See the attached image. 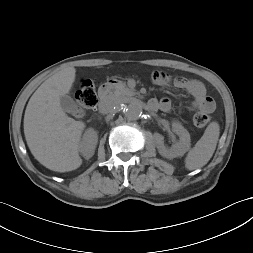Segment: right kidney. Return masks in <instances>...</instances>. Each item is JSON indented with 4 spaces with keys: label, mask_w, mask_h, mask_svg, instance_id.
Segmentation results:
<instances>
[{
    "label": "right kidney",
    "mask_w": 253,
    "mask_h": 253,
    "mask_svg": "<svg viewBox=\"0 0 253 253\" xmlns=\"http://www.w3.org/2000/svg\"><path fill=\"white\" fill-rule=\"evenodd\" d=\"M97 142V131H95L93 128L87 129L79 146V151L85 159H89L94 155Z\"/></svg>",
    "instance_id": "obj_1"
}]
</instances>
